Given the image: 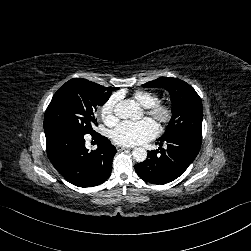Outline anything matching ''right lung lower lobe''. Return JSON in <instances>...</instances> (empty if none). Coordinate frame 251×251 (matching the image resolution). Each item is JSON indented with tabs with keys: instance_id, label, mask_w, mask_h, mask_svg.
Instances as JSON below:
<instances>
[{
	"instance_id": "98d812e1",
	"label": "right lung lower lobe",
	"mask_w": 251,
	"mask_h": 251,
	"mask_svg": "<svg viewBox=\"0 0 251 251\" xmlns=\"http://www.w3.org/2000/svg\"><path fill=\"white\" fill-rule=\"evenodd\" d=\"M48 158L58 172L79 187H93L106 181L112 169L116 148L110 141L94 132L98 148L88 152L84 135L63 127L44 130Z\"/></svg>"
}]
</instances>
